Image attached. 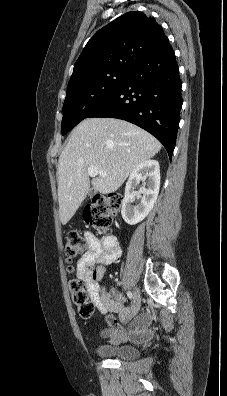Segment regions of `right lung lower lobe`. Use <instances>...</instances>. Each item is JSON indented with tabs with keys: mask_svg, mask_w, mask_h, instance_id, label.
<instances>
[{
	"mask_svg": "<svg viewBox=\"0 0 227 396\" xmlns=\"http://www.w3.org/2000/svg\"><path fill=\"white\" fill-rule=\"evenodd\" d=\"M182 107L181 80L170 44L143 59L121 87L86 118L131 122L155 136L171 158Z\"/></svg>",
	"mask_w": 227,
	"mask_h": 396,
	"instance_id": "obj_1",
	"label": "right lung lower lobe"
}]
</instances>
